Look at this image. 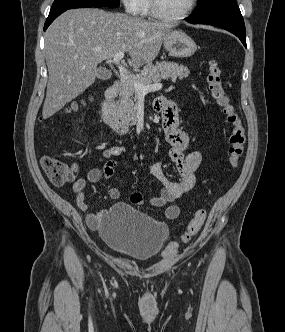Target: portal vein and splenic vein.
<instances>
[{"label": "portal vein and splenic vein", "mask_w": 285, "mask_h": 332, "mask_svg": "<svg viewBox=\"0 0 285 332\" xmlns=\"http://www.w3.org/2000/svg\"><path fill=\"white\" fill-rule=\"evenodd\" d=\"M124 57V52H118L113 57V62L115 65H117L119 71L124 74L126 77H131L132 83L134 85V88L136 89L138 94L145 95L151 91L160 90L162 88L161 83H154L152 85H144L138 81H134L132 78V75H130L127 71V69L120 64L121 59Z\"/></svg>", "instance_id": "obj_1"}]
</instances>
